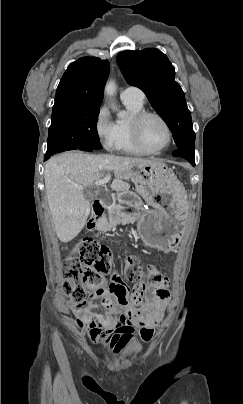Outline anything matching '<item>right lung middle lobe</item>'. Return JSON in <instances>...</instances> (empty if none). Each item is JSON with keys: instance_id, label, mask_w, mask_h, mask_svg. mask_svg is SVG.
Listing matches in <instances>:
<instances>
[{"instance_id": "1", "label": "right lung middle lobe", "mask_w": 243, "mask_h": 404, "mask_svg": "<svg viewBox=\"0 0 243 404\" xmlns=\"http://www.w3.org/2000/svg\"><path fill=\"white\" fill-rule=\"evenodd\" d=\"M99 107L70 105L53 108L44 160L66 150L101 149L96 129Z\"/></svg>"}]
</instances>
